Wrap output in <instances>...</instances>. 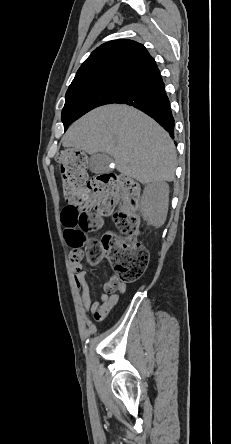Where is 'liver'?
<instances>
[{"mask_svg":"<svg viewBox=\"0 0 231 444\" xmlns=\"http://www.w3.org/2000/svg\"><path fill=\"white\" fill-rule=\"evenodd\" d=\"M62 144L90 155L107 153L120 173L143 184L174 180L177 157L172 139L131 106L110 104L88 112L70 126Z\"/></svg>","mask_w":231,"mask_h":444,"instance_id":"liver-1","label":"liver"}]
</instances>
